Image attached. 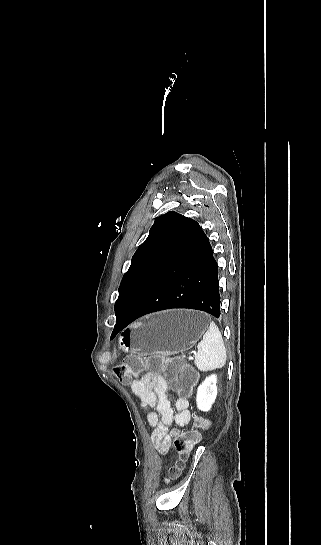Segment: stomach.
Instances as JSON below:
<instances>
[{
	"label": "stomach",
	"mask_w": 321,
	"mask_h": 545,
	"mask_svg": "<svg viewBox=\"0 0 321 545\" xmlns=\"http://www.w3.org/2000/svg\"><path fill=\"white\" fill-rule=\"evenodd\" d=\"M208 327L207 315L191 309L152 313L128 325L119 335L123 353H163L166 357L192 349Z\"/></svg>",
	"instance_id": "obj_1"
}]
</instances>
